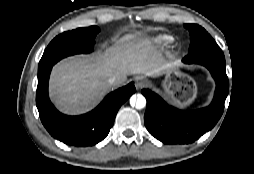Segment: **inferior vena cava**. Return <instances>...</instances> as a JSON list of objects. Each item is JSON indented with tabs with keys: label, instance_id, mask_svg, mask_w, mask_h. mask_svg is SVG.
<instances>
[{
	"label": "inferior vena cava",
	"instance_id": "inferior-vena-cava-1",
	"mask_svg": "<svg viewBox=\"0 0 254 174\" xmlns=\"http://www.w3.org/2000/svg\"><path fill=\"white\" fill-rule=\"evenodd\" d=\"M108 82L110 85H118L120 83V80L118 76L113 75L108 79Z\"/></svg>",
	"mask_w": 254,
	"mask_h": 174
}]
</instances>
